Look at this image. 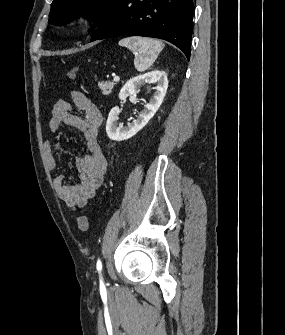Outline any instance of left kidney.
<instances>
[{
    "mask_svg": "<svg viewBox=\"0 0 285 335\" xmlns=\"http://www.w3.org/2000/svg\"><path fill=\"white\" fill-rule=\"evenodd\" d=\"M144 84H157L155 88L156 92L154 96H152V100H150L149 104H145V110H142V112L138 114L136 120H133L130 126L124 128L122 124H119L118 120L121 110H119L118 106H115V108H112L111 112H109L106 132L110 140H116V142L129 140V138L135 136L139 130H142V128L148 124L149 120L156 114L158 108H160L164 96H166L168 80L167 74H165V72H159V70H154V72H148V74H142V76H136V78L128 80L119 92V100H126L128 96H136Z\"/></svg>",
    "mask_w": 285,
    "mask_h": 335,
    "instance_id": "obj_1",
    "label": "left kidney"
}]
</instances>
